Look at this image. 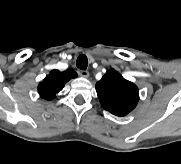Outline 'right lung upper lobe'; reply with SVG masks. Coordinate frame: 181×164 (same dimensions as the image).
Listing matches in <instances>:
<instances>
[{"instance_id":"cb5924a9","label":"right lung upper lobe","mask_w":181,"mask_h":164,"mask_svg":"<svg viewBox=\"0 0 181 164\" xmlns=\"http://www.w3.org/2000/svg\"><path fill=\"white\" fill-rule=\"evenodd\" d=\"M76 77L77 73L73 69L64 72L52 70L43 82L38 85V92L42 98L52 100L63 89L66 82Z\"/></svg>"}]
</instances>
